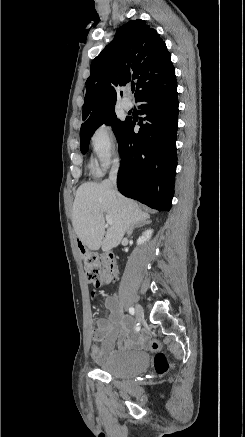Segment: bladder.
Instances as JSON below:
<instances>
[{
    "instance_id": "obj_1",
    "label": "bladder",
    "mask_w": 245,
    "mask_h": 437,
    "mask_svg": "<svg viewBox=\"0 0 245 437\" xmlns=\"http://www.w3.org/2000/svg\"><path fill=\"white\" fill-rule=\"evenodd\" d=\"M148 363L149 356L145 351L122 349L104 360L99 368L113 377L129 379L142 373Z\"/></svg>"
}]
</instances>
